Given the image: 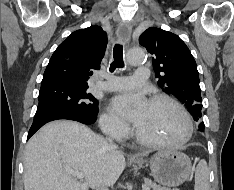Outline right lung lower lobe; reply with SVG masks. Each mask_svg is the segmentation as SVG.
Returning <instances> with one entry per match:
<instances>
[{
	"label": "right lung lower lobe",
	"instance_id": "obj_1",
	"mask_svg": "<svg viewBox=\"0 0 234 190\" xmlns=\"http://www.w3.org/2000/svg\"><path fill=\"white\" fill-rule=\"evenodd\" d=\"M59 119L74 120L87 125L93 124L96 121L95 116L93 117L85 116L76 112L66 111V110L52 111L33 121V124L28 133L27 140L44 124Z\"/></svg>",
	"mask_w": 234,
	"mask_h": 190
}]
</instances>
